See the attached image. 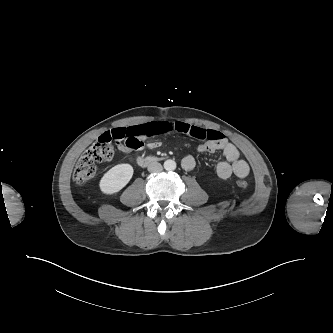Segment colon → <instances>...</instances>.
<instances>
[{
	"label": "colon",
	"mask_w": 333,
	"mask_h": 333,
	"mask_svg": "<svg viewBox=\"0 0 333 333\" xmlns=\"http://www.w3.org/2000/svg\"><path fill=\"white\" fill-rule=\"evenodd\" d=\"M106 138H99L80 157L74 170L73 179L79 185L87 184L92 180L99 164L110 161L114 156V149ZM238 186L246 188L244 180H238Z\"/></svg>",
	"instance_id": "5ec220e1"
}]
</instances>
